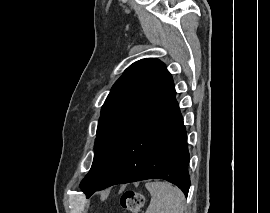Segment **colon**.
Instances as JSON below:
<instances>
[{
    "mask_svg": "<svg viewBox=\"0 0 270 213\" xmlns=\"http://www.w3.org/2000/svg\"><path fill=\"white\" fill-rule=\"evenodd\" d=\"M122 208L128 213H138L144 204L142 193L134 190H126L120 199Z\"/></svg>",
    "mask_w": 270,
    "mask_h": 213,
    "instance_id": "5ec220e1",
    "label": "colon"
}]
</instances>
